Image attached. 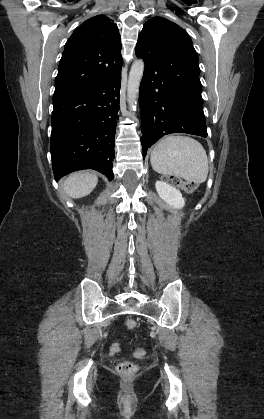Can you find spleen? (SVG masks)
<instances>
[{
    "label": "spleen",
    "mask_w": 264,
    "mask_h": 419,
    "mask_svg": "<svg viewBox=\"0 0 264 419\" xmlns=\"http://www.w3.org/2000/svg\"><path fill=\"white\" fill-rule=\"evenodd\" d=\"M150 161L157 173L177 176L190 183H203L208 176L206 151L197 140L188 136L164 138L152 150Z\"/></svg>",
    "instance_id": "3e777b00"
}]
</instances>
